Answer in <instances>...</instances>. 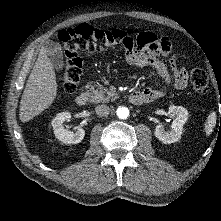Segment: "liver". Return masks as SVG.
Returning <instances> with one entry per match:
<instances>
[{"label": "liver", "mask_w": 221, "mask_h": 221, "mask_svg": "<svg viewBox=\"0 0 221 221\" xmlns=\"http://www.w3.org/2000/svg\"><path fill=\"white\" fill-rule=\"evenodd\" d=\"M57 95L56 75L45 47L40 49L20 101V120L25 123L42 113Z\"/></svg>", "instance_id": "1"}]
</instances>
